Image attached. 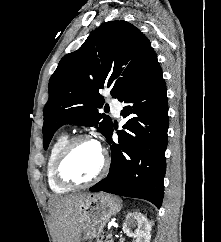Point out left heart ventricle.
<instances>
[{"mask_svg": "<svg viewBox=\"0 0 221 242\" xmlns=\"http://www.w3.org/2000/svg\"><path fill=\"white\" fill-rule=\"evenodd\" d=\"M101 158L100 148L95 142H79L70 152L63 173L76 181L88 180L99 170Z\"/></svg>", "mask_w": 221, "mask_h": 242, "instance_id": "left-heart-ventricle-1", "label": "left heart ventricle"}]
</instances>
